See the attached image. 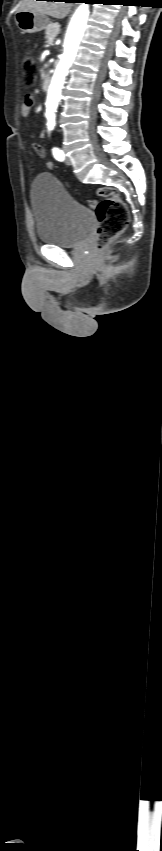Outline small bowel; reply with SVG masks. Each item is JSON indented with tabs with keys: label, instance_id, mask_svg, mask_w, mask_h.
I'll return each mask as SVG.
<instances>
[{
	"label": "small bowel",
	"instance_id": "c3829d8e",
	"mask_svg": "<svg viewBox=\"0 0 162 851\" xmlns=\"http://www.w3.org/2000/svg\"><path fill=\"white\" fill-rule=\"evenodd\" d=\"M33 104H34V98H33L32 95H27V96L24 97L23 102L21 104V108H20V114H21L22 117L26 118V117L29 116L30 111L33 107ZM43 137H44V132H42L40 134V138H43ZM34 149L41 157L45 156V151H44V149L41 145L34 144ZM46 166L48 168H52L53 162L52 161H46Z\"/></svg>",
	"mask_w": 162,
	"mask_h": 851
}]
</instances>
